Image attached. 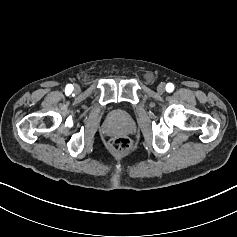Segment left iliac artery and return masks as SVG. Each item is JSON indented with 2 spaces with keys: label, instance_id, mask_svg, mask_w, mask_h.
Wrapping results in <instances>:
<instances>
[{
  "label": "left iliac artery",
  "instance_id": "1",
  "mask_svg": "<svg viewBox=\"0 0 237 237\" xmlns=\"http://www.w3.org/2000/svg\"><path fill=\"white\" fill-rule=\"evenodd\" d=\"M174 90V85L172 84V83H168L167 85H166V91L167 92H172Z\"/></svg>",
  "mask_w": 237,
  "mask_h": 237
}]
</instances>
